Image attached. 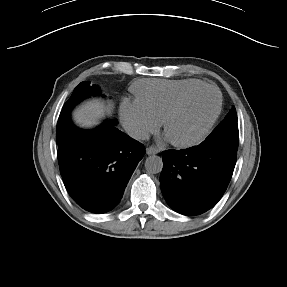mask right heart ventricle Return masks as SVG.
<instances>
[{"label":"right heart ventricle","mask_w":287,"mask_h":287,"mask_svg":"<svg viewBox=\"0 0 287 287\" xmlns=\"http://www.w3.org/2000/svg\"><path fill=\"white\" fill-rule=\"evenodd\" d=\"M203 84L197 79L139 81L134 90L140 101L159 121H162L176 102L187 90Z\"/></svg>","instance_id":"1"}]
</instances>
